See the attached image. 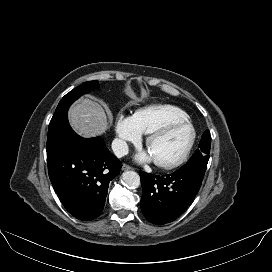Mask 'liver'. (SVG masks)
Wrapping results in <instances>:
<instances>
[{
  "instance_id": "liver-1",
  "label": "liver",
  "mask_w": 272,
  "mask_h": 272,
  "mask_svg": "<svg viewBox=\"0 0 272 272\" xmlns=\"http://www.w3.org/2000/svg\"><path fill=\"white\" fill-rule=\"evenodd\" d=\"M69 123L76 133L85 138L101 135L109 127L104 109L88 98L72 105L69 110Z\"/></svg>"
}]
</instances>
